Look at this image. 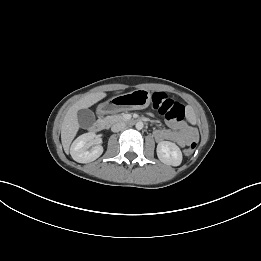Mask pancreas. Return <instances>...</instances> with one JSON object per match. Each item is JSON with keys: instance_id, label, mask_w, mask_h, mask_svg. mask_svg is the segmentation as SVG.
Returning a JSON list of instances; mask_svg holds the SVG:
<instances>
[{"instance_id": "1", "label": "pancreas", "mask_w": 261, "mask_h": 261, "mask_svg": "<svg viewBox=\"0 0 261 261\" xmlns=\"http://www.w3.org/2000/svg\"><path fill=\"white\" fill-rule=\"evenodd\" d=\"M105 120L109 121L110 123H114L116 121H122L123 120V116L120 115V114H115V115L106 117Z\"/></svg>"}]
</instances>
